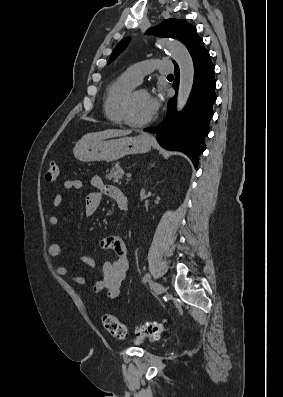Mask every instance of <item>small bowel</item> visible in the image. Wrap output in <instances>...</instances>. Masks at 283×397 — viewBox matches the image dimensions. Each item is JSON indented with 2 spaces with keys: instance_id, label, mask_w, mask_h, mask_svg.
I'll use <instances>...</instances> for the list:
<instances>
[{
  "instance_id": "1",
  "label": "small bowel",
  "mask_w": 283,
  "mask_h": 397,
  "mask_svg": "<svg viewBox=\"0 0 283 397\" xmlns=\"http://www.w3.org/2000/svg\"><path fill=\"white\" fill-rule=\"evenodd\" d=\"M91 185L94 188L85 200V214L87 217H92L97 212L103 196H108L115 201L117 206L121 209L122 204L127 203V198L124 192L116 186L107 185L103 182L100 176H93ZM67 190H79L83 187V181L79 179L67 180L64 183ZM63 203L62 194L58 193L53 198V206L58 208ZM49 224L53 227H58L60 219L52 215L49 217ZM103 248L111 250L116 258L112 262H105L102 265V276L92 286V292L96 294H104L110 300H115L120 297L122 293V282L125 279L129 262L127 256V249L124 241L116 236H109L102 242ZM62 252V247L53 243L48 246L47 254L50 260L56 259ZM82 263L89 267H95L96 262L89 256L80 257ZM56 273L59 276L66 277L70 281L83 285L85 279L82 275L66 266H58Z\"/></svg>"
}]
</instances>
